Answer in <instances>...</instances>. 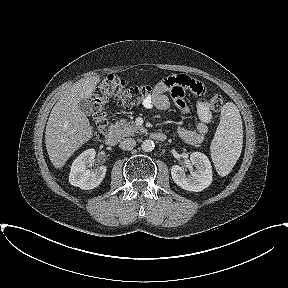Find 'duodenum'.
Returning a JSON list of instances; mask_svg holds the SVG:
<instances>
[{"instance_id": "duodenum-1", "label": "duodenum", "mask_w": 288, "mask_h": 288, "mask_svg": "<svg viewBox=\"0 0 288 288\" xmlns=\"http://www.w3.org/2000/svg\"><path fill=\"white\" fill-rule=\"evenodd\" d=\"M151 137L157 141H164L166 135L162 132H154ZM119 141V135L114 127H110L105 138V142L108 146H115Z\"/></svg>"}]
</instances>
